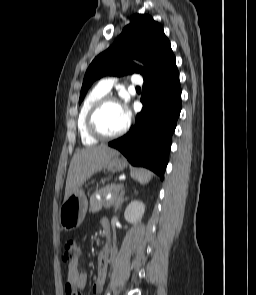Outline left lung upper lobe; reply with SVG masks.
Segmentation results:
<instances>
[{
	"label": "left lung upper lobe",
	"instance_id": "obj_1",
	"mask_svg": "<svg viewBox=\"0 0 256 295\" xmlns=\"http://www.w3.org/2000/svg\"><path fill=\"white\" fill-rule=\"evenodd\" d=\"M131 58L140 60L139 67ZM175 63L171 45L162 26L145 14H135L115 42L99 54L88 67L81 88L79 103L91 84L105 75L121 76L134 72L150 78Z\"/></svg>",
	"mask_w": 256,
	"mask_h": 295
}]
</instances>
